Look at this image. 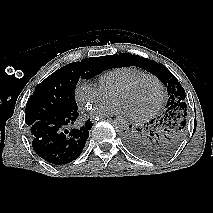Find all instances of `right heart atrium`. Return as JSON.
Returning <instances> with one entry per match:
<instances>
[{
    "label": "right heart atrium",
    "mask_w": 213,
    "mask_h": 213,
    "mask_svg": "<svg viewBox=\"0 0 213 213\" xmlns=\"http://www.w3.org/2000/svg\"><path fill=\"white\" fill-rule=\"evenodd\" d=\"M109 97L100 85L92 81L79 82L75 88V99L81 109L89 110L94 105L107 102Z\"/></svg>",
    "instance_id": "1"
}]
</instances>
